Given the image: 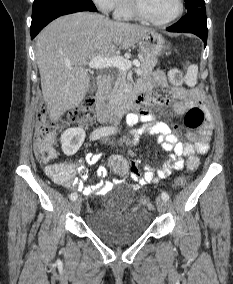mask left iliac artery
Instances as JSON below:
<instances>
[{
    "label": "left iliac artery",
    "instance_id": "obj_1",
    "mask_svg": "<svg viewBox=\"0 0 233 284\" xmlns=\"http://www.w3.org/2000/svg\"><path fill=\"white\" fill-rule=\"evenodd\" d=\"M161 198H162L163 200L167 201V200L169 199L168 193H167V192H162Z\"/></svg>",
    "mask_w": 233,
    "mask_h": 284
}]
</instances>
